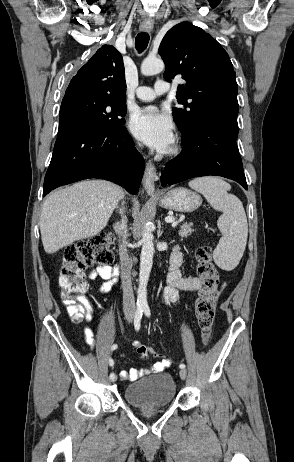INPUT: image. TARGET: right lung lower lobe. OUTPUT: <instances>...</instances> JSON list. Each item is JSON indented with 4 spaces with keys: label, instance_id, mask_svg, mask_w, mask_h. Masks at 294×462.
Returning a JSON list of instances; mask_svg holds the SVG:
<instances>
[{
    "label": "right lung lower lobe",
    "instance_id": "1",
    "mask_svg": "<svg viewBox=\"0 0 294 462\" xmlns=\"http://www.w3.org/2000/svg\"><path fill=\"white\" fill-rule=\"evenodd\" d=\"M143 173L144 160L124 123L68 132L57 137L43 196L59 186L92 177L115 182L136 194Z\"/></svg>",
    "mask_w": 294,
    "mask_h": 462
}]
</instances>
